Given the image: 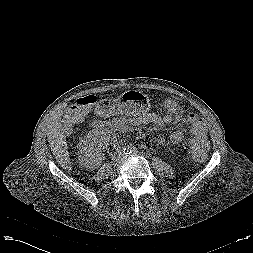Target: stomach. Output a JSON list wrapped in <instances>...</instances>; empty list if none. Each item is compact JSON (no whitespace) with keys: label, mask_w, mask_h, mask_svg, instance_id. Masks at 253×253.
Instances as JSON below:
<instances>
[{"label":"stomach","mask_w":253,"mask_h":253,"mask_svg":"<svg viewBox=\"0 0 253 253\" xmlns=\"http://www.w3.org/2000/svg\"><path fill=\"white\" fill-rule=\"evenodd\" d=\"M97 110L103 115L118 112L127 116H141L150 110V100L141 91L128 90L117 99L101 100L97 106Z\"/></svg>","instance_id":"stomach-1"}]
</instances>
